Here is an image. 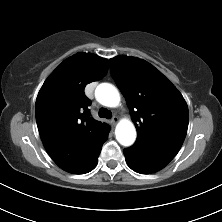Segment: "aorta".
<instances>
[{
    "mask_svg": "<svg viewBox=\"0 0 222 222\" xmlns=\"http://www.w3.org/2000/svg\"><path fill=\"white\" fill-rule=\"evenodd\" d=\"M95 97L99 103L107 107H116L120 102V95L117 89L108 83H102L95 90ZM117 141L124 146H130L136 138V130L129 120H121L115 129Z\"/></svg>",
    "mask_w": 222,
    "mask_h": 222,
    "instance_id": "762f6f07",
    "label": "aorta"
}]
</instances>
